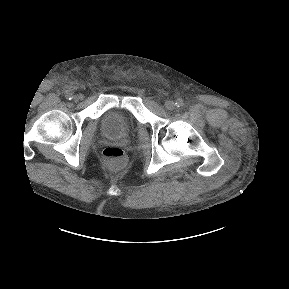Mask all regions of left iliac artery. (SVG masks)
Wrapping results in <instances>:
<instances>
[{
  "mask_svg": "<svg viewBox=\"0 0 289 289\" xmlns=\"http://www.w3.org/2000/svg\"><path fill=\"white\" fill-rule=\"evenodd\" d=\"M175 105H176L177 107L183 106V100H182V99H178V100L176 101Z\"/></svg>",
  "mask_w": 289,
  "mask_h": 289,
  "instance_id": "1",
  "label": "left iliac artery"
}]
</instances>
